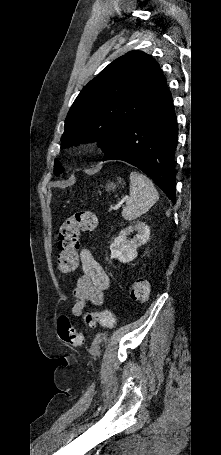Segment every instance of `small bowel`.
<instances>
[{
    "label": "small bowel",
    "instance_id": "c3829d8e",
    "mask_svg": "<svg viewBox=\"0 0 221 455\" xmlns=\"http://www.w3.org/2000/svg\"><path fill=\"white\" fill-rule=\"evenodd\" d=\"M80 262L82 273L76 279L74 289L76 300L72 307V313L77 317L83 315L87 303L101 306L110 285L108 275L89 249L81 250Z\"/></svg>",
    "mask_w": 221,
    "mask_h": 455
}]
</instances>
